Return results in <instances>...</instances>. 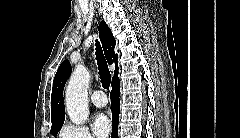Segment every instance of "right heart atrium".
Here are the masks:
<instances>
[{
    "instance_id": "d8ad5b80",
    "label": "right heart atrium",
    "mask_w": 240,
    "mask_h": 138,
    "mask_svg": "<svg viewBox=\"0 0 240 138\" xmlns=\"http://www.w3.org/2000/svg\"><path fill=\"white\" fill-rule=\"evenodd\" d=\"M61 138H93L85 125L66 123L60 132Z\"/></svg>"
}]
</instances>
